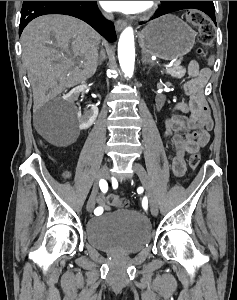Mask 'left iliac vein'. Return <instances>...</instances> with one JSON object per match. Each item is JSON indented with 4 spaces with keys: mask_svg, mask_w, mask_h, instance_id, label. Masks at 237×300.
<instances>
[{
    "mask_svg": "<svg viewBox=\"0 0 237 300\" xmlns=\"http://www.w3.org/2000/svg\"><path fill=\"white\" fill-rule=\"evenodd\" d=\"M133 169L135 173L138 175V177L141 179L142 186L146 190V194L148 196L149 203H150L151 212L153 213L154 216H157L158 214L157 200L145 168L140 163L134 162Z\"/></svg>",
    "mask_w": 237,
    "mask_h": 300,
    "instance_id": "obj_1",
    "label": "left iliac vein"
}]
</instances>
